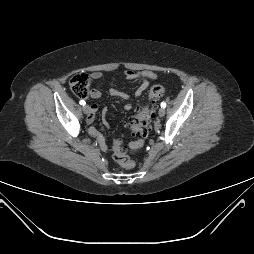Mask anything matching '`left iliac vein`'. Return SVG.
<instances>
[{
    "instance_id": "4c4485c4",
    "label": "left iliac vein",
    "mask_w": 254,
    "mask_h": 254,
    "mask_svg": "<svg viewBox=\"0 0 254 254\" xmlns=\"http://www.w3.org/2000/svg\"><path fill=\"white\" fill-rule=\"evenodd\" d=\"M158 114H159L160 117H163L165 115V109L160 108Z\"/></svg>"
}]
</instances>
